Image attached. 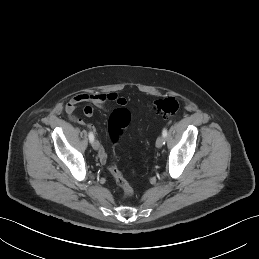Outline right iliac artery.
Wrapping results in <instances>:
<instances>
[{
  "label": "right iliac artery",
  "instance_id": "obj_1",
  "mask_svg": "<svg viewBox=\"0 0 259 259\" xmlns=\"http://www.w3.org/2000/svg\"><path fill=\"white\" fill-rule=\"evenodd\" d=\"M89 140H90V142L94 141V135L92 132L89 133Z\"/></svg>",
  "mask_w": 259,
  "mask_h": 259
}]
</instances>
